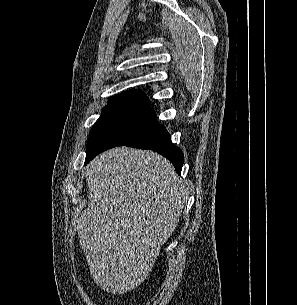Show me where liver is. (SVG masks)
Here are the masks:
<instances>
[{
    "instance_id": "1",
    "label": "liver",
    "mask_w": 297,
    "mask_h": 305,
    "mask_svg": "<svg viewBox=\"0 0 297 305\" xmlns=\"http://www.w3.org/2000/svg\"><path fill=\"white\" fill-rule=\"evenodd\" d=\"M88 208L78 219L80 245L95 283L124 294L149 275L174 231L187 192L160 154L118 147L87 166Z\"/></svg>"
}]
</instances>
